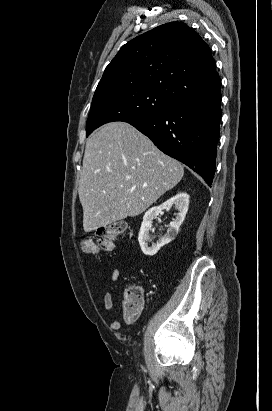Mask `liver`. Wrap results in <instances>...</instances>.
<instances>
[{
  "label": "liver",
  "instance_id": "liver-1",
  "mask_svg": "<svg viewBox=\"0 0 272 411\" xmlns=\"http://www.w3.org/2000/svg\"><path fill=\"white\" fill-rule=\"evenodd\" d=\"M183 175L180 162L130 124L102 126L87 140L83 158L78 192L84 231L138 216Z\"/></svg>",
  "mask_w": 272,
  "mask_h": 411
}]
</instances>
